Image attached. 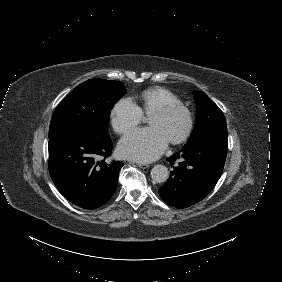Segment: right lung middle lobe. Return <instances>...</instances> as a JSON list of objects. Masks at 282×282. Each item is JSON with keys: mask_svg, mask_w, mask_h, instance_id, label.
<instances>
[{"mask_svg": "<svg viewBox=\"0 0 282 282\" xmlns=\"http://www.w3.org/2000/svg\"><path fill=\"white\" fill-rule=\"evenodd\" d=\"M126 93L122 82L90 79L77 86L55 110L49 138L71 128H85L97 136H108L110 111Z\"/></svg>", "mask_w": 282, "mask_h": 282, "instance_id": "obj_1", "label": "right lung middle lobe"}]
</instances>
